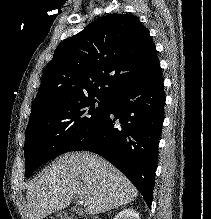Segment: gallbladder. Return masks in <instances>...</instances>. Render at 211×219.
I'll list each match as a JSON object with an SVG mask.
<instances>
[{
    "label": "gallbladder",
    "instance_id": "1",
    "mask_svg": "<svg viewBox=\"0 0 211 219\" xmlns=\"http://www.w3.org/2000/svg\"><path fill=\"white\" fill-rule=\"evenodd\" d=\"M72 210H75L77 213H81V210H76V208H72Z\"/></svg>",
    "mask_w": 211,
    "mask_h": 219
}]
</instances>
